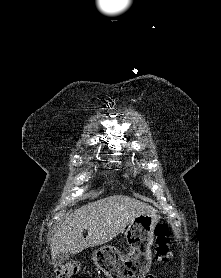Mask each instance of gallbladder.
I'll return each mask as SVG.
<instances>
[{
    "mask_svg": "<svg viewBox=\"0 0 221 278\" xmlns=\"http://www.w3.org/2000/svg\"><path fill=\"white\" fill-rule=\"evenodd\" d=\"M71 257L70 254L68 253H61V254H58L55 256L54 258V264L55 265H61L63 264L64 262H66L67 260H69Z\"/></svg>",
    "mask_w": 221,
    "mask_h": 278,
    "instance_id": "1",
    "label": "gallbladder"
}]
</instances>
